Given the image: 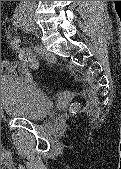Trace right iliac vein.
<instances>
[{
    "instance_id": "63e3f726",
    "label": "right iliac vein",
    "mask_w": 121,
    "mask_h": 169,
    "mask_svg": "<svg viewBox=\"0 0 121 169\" xmlns=\"http://www.w3.org/2000/svg\"><path fill=\"white\" fill-rule=\"evenodd\" d=\"M24 24H25L30 30L34 31L36 35H38V30L36 29V27H35V25H34V23H33V21H32L31 19H26V20L24 21Z\"/></svg>"
}]
</instances>
